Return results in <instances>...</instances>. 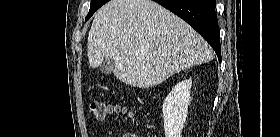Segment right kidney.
<instances>
[{"label":"right kidney","instance_id":"obj_1","mask_svg":"<svg viewBox=\"0 0 280 137\" xmlns=\"http://www.w3.org/2000/svg\"><path fill=\"white\" fill-rule=\"evenodd\" d=\"M192 80L179 82L163 102L164 130L166 137H181L188 113Z\"/></svg>","mask_w":280,"mask_h":137}]
</instances>
